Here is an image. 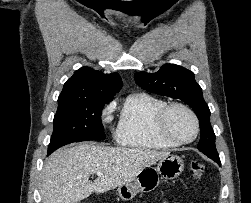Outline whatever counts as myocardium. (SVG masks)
<instances>
[{"instance_id": "obj_1", "label": "myocardium", "mask_w": 251, "mask_h": 203, "mask_svg": "<svg viewBox=\"0 0 251 203\" xmlns=\"http://www.w3.org/2000/svg\"><path fill=\"white\" fill-rule=\"evenodd\" d=\"M173 108H181L185 110L193 119L195 124V130L193 135L189 139H177L172 136L167 129V119L170 111ZM154 130L155 133L162 138L164 141L171 143L173 145H186L192 143L199 135L200 132V121L197 114L188 105L181 102H171L164 105L156 114L154 120Z\"/></svg>"}]
</instances>
